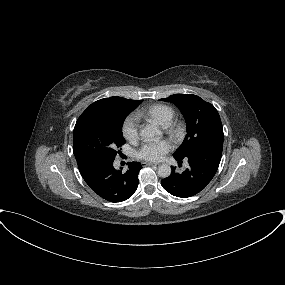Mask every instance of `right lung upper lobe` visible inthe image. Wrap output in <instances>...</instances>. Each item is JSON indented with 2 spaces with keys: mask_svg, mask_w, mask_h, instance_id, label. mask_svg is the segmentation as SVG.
Listing matches in <instances>:
<instances>
[{
  "mask_svg": "<svg viewBox=\"0 0 285 285\" xmlns=\"http://www.w3.org/2000/svg\"><path fill=\"white\" fill-rule=\"evenodd\" d=\"M129 102H134V100L130 99H125L122 97H110V98H104L101 100H98L91 104L83 113L80 117H84L89 115L90 113H94L97 111L105 110L110 107L123 104V103H129Z\"/></svg>",
  "mask_w": 285,
  "mask_h": 285,
  "instance_id": "obj_1",
  "label": "right lung upper lobe"
}]
</instances>
